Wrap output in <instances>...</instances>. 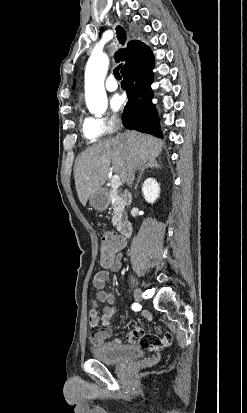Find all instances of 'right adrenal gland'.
<instances>
[{
	"label": "right adrenal gland",
	"instance_id": "1",
	"mask_svg": "<svg viewBox=\"0 0 247 413\" xmlns=\"http://www.w3.org/2000/svg\"><path fill=\"white\" fill-rule=\"evenodd\" d=\"M153 166H155V168H161L160 164H158L157 160H155V158H152V160H148V162H146V164H144L143 168H141L140 172H139V176H138V180L134 186L135 190H137L138 188V184L141 180V176L144 172V170H146V168H153Z\"/></svg>",
	"mask_w": 247,
	"mask_h": 413
}]
</instances>
